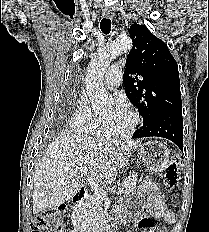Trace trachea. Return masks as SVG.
I'll list each match as a JSON object with an SVG mask.
<instances>
[{
  "label": "trachea",
  "mask_w": 209,
  "mask_h": 232,
  "mask_svg": "<svg viewBox=\"0 0 209 232\" xmlns=\"http://www.w3.org/2000/svg\"><path fill=\"white\" fill-rule=\"evenodd\" d=\"M100 29L102 33L109 34L111 30V20L109 18H103L100 22Z\"/></svg>",
  "instance_id": "1"
}]
</instances>
